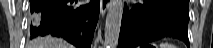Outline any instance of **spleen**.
I'll return each instance as SVG.
<instances>
[{
	"mask_svg": "<svg viewBox=\"0 0 213 48\" xmlns=\"http://www.w3.org/2000/svg\"><path fill=\"white\" fill-rule=\"evenodd\" d=\"M159 48H177V46L169 42H162L160 43Z\"/></svg>",
	"mask_w": 213,
	"mask_h": 48,
	"instance_id": "1",
	"label": "spleen"
}]
</instances>
